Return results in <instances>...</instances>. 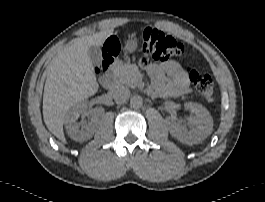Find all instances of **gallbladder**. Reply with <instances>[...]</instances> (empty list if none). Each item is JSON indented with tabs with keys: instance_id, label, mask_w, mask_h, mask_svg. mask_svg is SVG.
<instances>
[{
	"instance_id": "obj_1",
	"label": "gallbladder",
	"mask_w": 265,
	"mask_h": 202,
	"mask_svg": "<svg viewBox=\"0 0 265 202\" xmlns=\"http://www.w3.org/2000/svg\"><path fill=\"white\" fill-rule=\"evenodd\" d=\"M88 56L93 65L99 66L102 61V52L99 46L93 45L88 49Z\"/></svg>"
}]
</instances>
